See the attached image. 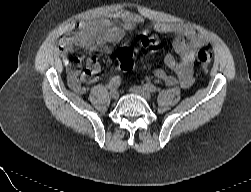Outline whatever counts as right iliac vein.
<instances>
[{
	"label": "right iliac vein",
	"instance_id": "1",
	"mask_svg": "<svg viewBox=\"0 0 251 192\" xmlns=\"http://www.w3.org/2000/svg\"><path fill=\"white\" fill-rule=\"evenodd\" d=\"M110 96H111V98H113V99H118V97H119V93H118V91L115 89V90H111L110 91Z\"/></svg>",
	"mask_w": 251,
	"mask_h": 192
}]
</instances>
